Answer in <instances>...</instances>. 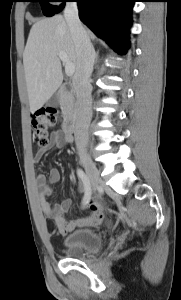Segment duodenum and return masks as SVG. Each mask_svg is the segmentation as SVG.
Listing matches in <instances>:
<instances>
[{"mask_svg":"<svg viewBox=\"0 0 181 300\" xmlns=\"http://www.w3.org/2000/svg\"><path fill=\"white\" fill-rule=\"evenodd\" d=\"M73 85L68 82L62 85L61 89L58 91L59 95L64 93H70L72 91ZM84 115V109L81 106H74L71 113L67 116L64 122V130L69 134L76 132L80 122L82 121Z\"/></svg>","mask_w":181,"mask_h":300,"instance_id":"obj_1","label":"duodenum"}]
</instances>
